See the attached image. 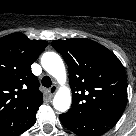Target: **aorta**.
I'll return each instance as SVG.
<instances>
[{"mask_svg": "<svg viewBox=\"0 0 136 136\" xmlns=\"http://www.w3.org/2000/svg\"><path fill=\"white\" fill-rule=\"evenodd\" d=\"M41 65L45 71L53 76L59 83L66 80V70L61 57L55 52H45L41 57ZM71 105V93L67 87H61L56 93L53 106L60 112H66Z\"/></svg>", "mask_w": 136, "mask_h": 136, "instance_id": "aorta-1", "label": "aorta"}]
</instances>
